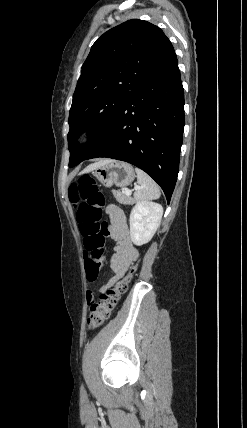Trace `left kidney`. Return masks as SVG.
Masks as SVG:
<instances>
[{"mask_svg":"<svg viewBox=\"0 0 247 428\" xmlns=\"http://www.w3.org/2000/svg\"><path fill=\"white\" fill-rule=\"evenodd\" d=\"M163 207L151 201H138L130 214V236L136 246L148 243L158 229Z\"/></svg>","mask_w":247,"mask_h":428,"instance_id":"obj_1","label":"left kidney"}]
</instances>
